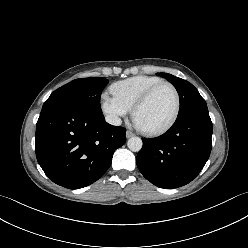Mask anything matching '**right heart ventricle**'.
Masks as SVG:
<instances>
[{"label": "right heart ventricle", "instance_id": "right-heart-ventricle-1", "mask_svg": "<svg viewBox=\"0 0 248 248\" xmlns=\"http://www.w3.org/2000/svg\"><path fill=\"white\" fill-rule=\"evenodd\" d=\"M160 81L162 80L158 77L138 75L115 82L111 91L117 99L132 109L142 94Z\"/></svg>", "mask_w": 248, "mask_h": 248}]
</instances>
